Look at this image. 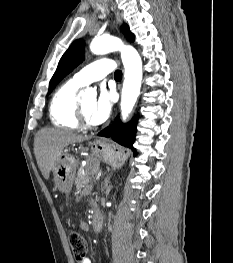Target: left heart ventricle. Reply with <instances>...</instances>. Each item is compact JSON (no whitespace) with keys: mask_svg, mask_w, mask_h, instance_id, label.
Returning a JSON list of instances; mask_svg holds the SVG:
<instances>
[{"mask_svg":"<svg viewBox=\"0 0 233 263\" xmlns=\"http://www.w3.org/2000/svg\"><path fill=\"white\" fill-rule=\"evenodd\" d=\"M94 105H95V100H88L82 103L84 113L89 121H90V114Z\"/></svg>","mask_w":233,"mask_h":263,"instance_id":"left-heart-ventricle-1","label":"left heart ventricle"}]
</instances>
